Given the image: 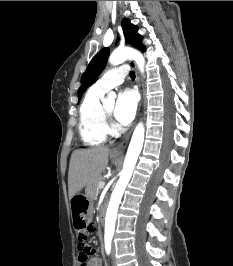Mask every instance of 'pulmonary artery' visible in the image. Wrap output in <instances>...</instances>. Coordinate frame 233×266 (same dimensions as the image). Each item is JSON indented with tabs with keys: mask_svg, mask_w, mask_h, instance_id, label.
I'll use <instances>...</instances> for the list:
<instances>
[{
	"mask_svg": "<svg viewBox=\"0 0 233 266\" xmlns=\"http://www.w3.org/2000/svg\"><path fill=\"white\" fill-rule=\"evenodd\" d=\"M128 74V66L122 65L110 69L103 74L94 84L97 88L107 92L110 89L122 84Z\"/></svg>",
	"mask_w": 233,
	"mask_h": 266,
	"instance_id": "1",
	"label": "pulmonary artery"
}]
</instances>
